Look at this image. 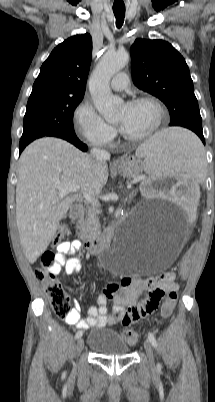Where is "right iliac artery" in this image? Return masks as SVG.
Segmentation results:
<instances>
[{
    "label": "right iliac artery",
    "mask_w": 215,
    "mask_h": 402,
    "mask_svg": "<svg viewBox=\"0 0 215 402\" xmlns=\"http://www.w3.org/2000/svg\"><path fill=\"white\" fill-rule=\"evenodd\" d=\"M83 335V332L82 331H78L77 333H76V339H78V338H80L81 336Z\"/></svg>",
    "instance_id": "right-iliac-artery-1"
}]
</instances>
